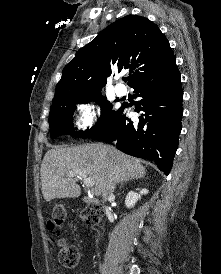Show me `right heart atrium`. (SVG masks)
<instances>
[{
  "mask_svg": "<svg viewBox=\"0 0 221 274\" xmlns=\"http://www.w3.org/2000/svg\"><path fill=\"white\" fill-rule=\"evenodd\" d=\"M77 108L76 130L85 131L91 129L100 113L98 106L93 102H82L78 104Z\"/></svg>",
  "mask_w": 221,
  "mask_h": 274,
  "instance_id": "1",
  "label": "right heart atrium"
}]
</instances>
